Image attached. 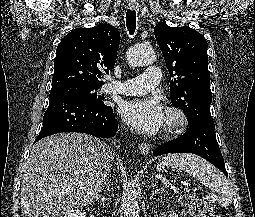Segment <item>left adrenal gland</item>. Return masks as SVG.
Here are the masks:
<instances>
[{
  "mask_svg": "<svg viewBox=\"0 0 255 217\" xmlns=\"http://www.w3.org/2000/svg\"><path fill=\"white\" fill-rule=\"evenodd\" d=\"M151 188H152L151 198H152L155 194H157L158 192L162 191V188H157V189H155L154 183L151 184Z\"/></svg>",
  "mask_w": 255,
  "mask_h": 217,
  "instance_id": "a2214340",
  "label": "left adrenal gland"
}]
</instances>
